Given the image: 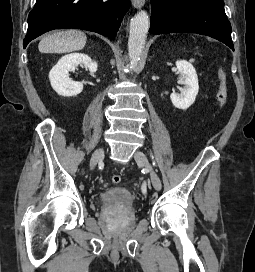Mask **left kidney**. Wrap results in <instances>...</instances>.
I'll return each instance as SVG.
<instances>
[{
  "label": "left kidney",
  "mask_w": 255,
  "mask_h": 272,
  "mask_svg": "<svg viewBox=\"0 0 255 272\" xmlns=\"http://www.w3.org/2000/svg\"><path fill=\"white\" fill-rule=\"evenodd\" d=\"M176 66L182 76L180 82L185 86L180 89V94L173 92L170 98L176 108L186 110L194 103L198 94V77L191 63L185 60H178L176 61Z\"/></svg>",
  "instance_id": "1"
}]
</instances>
